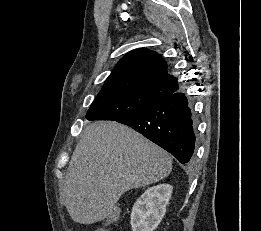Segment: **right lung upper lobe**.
<instances>
[{
    "label": "right lung upper lobe",
    "mask_w": 261,
    "mask_h": 231,
    "mask_svg": "<svg viewBox=\"0 0 261 231\" xmlns=\"http://www.w3.org/2000/svg\"><path fill=\"white\" fill-rule=\"evenodd\" d=\"M138 87L162 99L179 90L177 79L167 72L162 57L148 49H136L122 58L101 91Z\"/></svg>",
    "instance_id": "obj_1"
}]
</instances>
